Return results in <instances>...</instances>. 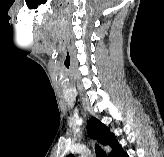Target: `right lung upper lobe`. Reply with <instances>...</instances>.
<instances>
[{
	"label": "right lung upper lobe",
	"mask_w": 164,
	"mask_h": 157,
	"mask_svg": "<svg viewBox=\"0 0 164 157\" xmlns=\"http://www.w3.org/2000/svg\"><path fill=\"white\" fill-rule=\"evenodd\" d=\"M87 130L92 138L94 137L102 145H108L112 148V152L108 155V157H111L113 151L119 146V143L116 140L115 135L110 132V129L101 123L98 119L92 117L88 121ZM67 157H74V155L70 154Z\"/></svg>",
	"instance_id": "obj_1"
}]
</instances>
